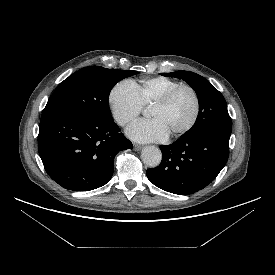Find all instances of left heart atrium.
<instances>
[{
  "instance_id": "obj_1",
  "label": "left heart atrium",
  "mask_w": 275,
  "mask_h": 275,
  "mask_svg": "<svg viewBox=\"0 0 275 275\" xmlns=\"http://www.w3.org/2000/svg\"><path fill=\"white\" fill-rule=\"evenodd\" d=\"M129 138L137 142H156L168 138L169 134L157 119H141L126 130Z\"/></svg>"
}]
</instances>
